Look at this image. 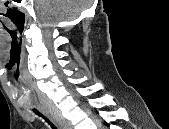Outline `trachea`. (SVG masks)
Returning a JSON list of instances; mask_svg holds the SVG:
<instances>
[{"mask_svg":"<svg viewBox=\"0 0 169 129\" xmlns=\"http://www.w3.org/2000/svg\"><path fill=\"white\" fill-rule=\"evenodd\" d=\"M33 112H34L36 115H38L39 117H42V118L51 126L52 129H57V128L53 125V123H51V121H50L48 118H46L42 113H40L37 109H33Z\"/></svg>","mask_w":169,"mask_h":129,"instance_id":"trachea-1","label":"trachea"}]
</instances>
